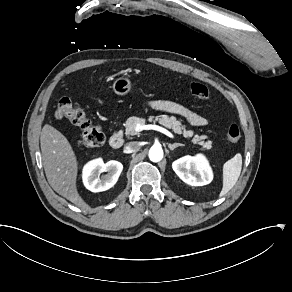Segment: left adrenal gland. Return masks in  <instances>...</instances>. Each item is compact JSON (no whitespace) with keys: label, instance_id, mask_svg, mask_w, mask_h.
<instances>
[{"label":"left adrenal gland","instance_id":"a2214340","mask_svg":"<svg viewBox=\"0 0 292 292\" xmlns=\"http://www.w3.org/2000/svg\"><path fill=\"white\" fill-rule=\"evenodd\" d=\"M167 144H168L169 149L171 151H174L177 147L184 146V144H181V143H175V144L167 143Z\"/></svg>","mask_w":292,"mask_h":292}]
</instances>
